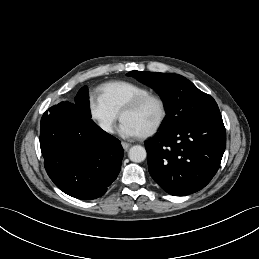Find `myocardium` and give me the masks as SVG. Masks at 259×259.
I'll use <instances>...</instances> for the list:
<instances>
[{
    "label": "myocardium",
    "mask_w": 259,
    "mask_h": 259,
    "mask_svg": "<svg viewBox=\"0 0 259 259\" xmlns=\"http://www.w3.org/2000/svg\"><path fill=\"white\" fill-rule=\"evenodd\" d=\"M149 100H154L159 104L161 114H160V117H159L157 123L151 129L140 134V137H142V138H148V137L155 135L164 125V123L167 119V115H168L167 105H166L164 99L160 95L152 94V93H149V94H146L143 96H139V97H136V98L132 99L131 101H129L121 109V111L119 113V117H120V119H122L124 114L137 110L141 105H143L145 102H147Z\"/></svg>",
    "instance_id": "myocardium-1"
}]
</instances>
